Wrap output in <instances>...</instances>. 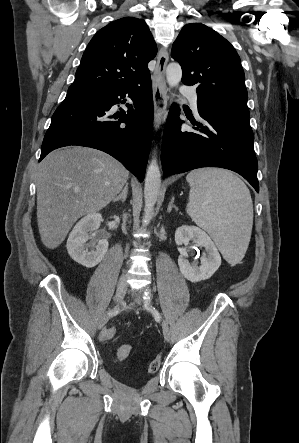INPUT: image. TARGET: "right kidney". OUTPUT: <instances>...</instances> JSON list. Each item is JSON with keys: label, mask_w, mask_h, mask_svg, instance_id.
Masks as SVG:
<instances>
[{"label": "right kidney", "mask_w": 299, "mask_h": 443, "mask_svg": "<svg viewBox=\"0 0 299 443\" xmlns=\"http://www.w3.org/2000/svg\"><path fill=\"white\" fill-rule=\"evenodd\" d=\"M101 220L100 213L87 214L76 223L67 240L66 247L70 257L87 268H92L101 262L108 250L109 244L106 239L94 240L87 244V241L93 239L96 234Z\"/></svg>", "instance_id": "obj_1"}]
</instances>
